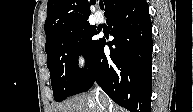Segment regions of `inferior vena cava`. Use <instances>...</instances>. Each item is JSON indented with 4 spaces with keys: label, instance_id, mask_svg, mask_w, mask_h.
<instances>
[{
    "label": "inferior vena cava",
    "instance_id": "inferior-vena-cava-1",
    "mask_svg": "<svg viewBox=\"0 0 193 112\" xmlns=\"http://www.w3.org/2000/svg\"><path fill=\"white\" fill-rule=\"evenodd\" d=\"M95 95H96V99H97L98 103H99L102 107H104V109H107V106H106V100H107V99H106L103 91L100 90L99 88H97ZM106 111H107V110H106Z\"/></svg>",
    "mask_w": 193,
    "mask_h": 112
}]
</instances>
